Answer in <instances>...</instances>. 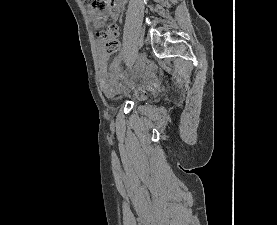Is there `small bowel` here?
<instances>
[{
    "label": "small bowel",
    "mask_w": 277,
    "mask_h": 225,
    "mask_svg": "<svg viewBox=\"0 0 277 225\" xmlns=\"http://www.w3.org/2000/svg\"><path fill=\"white\" fill-rule=\"evenodd\" d=\"M122 3L116 4L112 8H110L109 12L113 20H116L119 16V13L122 10ZM98 52V76L99 83L103 92L107 95L112 94L114 91L119 90L123 83L127 81V74L123 71L121 62L125 58V52H120L111 64L108 66V58L109 55L104 52L99 46ZM139 73H144V78L146 80H150L152 78V70H146L142 68L137 72V69L134 73V76Z\"/></svg>",
    "instance_id": "obj_1"
}]
</instances>
